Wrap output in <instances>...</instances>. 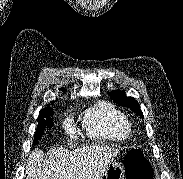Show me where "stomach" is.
<instances>
[{"mask_svg": "<svg viewBox=\"0 0 183 179\" xmlns=\"http://www.w3.org/2000/svg\"><path fill=\"white\" fill-rule=\"evenodd\" d=\"M100 179H125V173L122 165L116 161H112L107 166Z\"/></svg>", "mask_w": 183, "mask_h": 179, "instance_id": "0dacf381", "label": "stomach"}]
</instances>
